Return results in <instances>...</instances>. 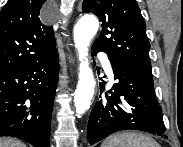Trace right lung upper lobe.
<instances>
[{"label":"right lung upper lobe","mask_w":183,"mask_h":147,"mask_svg":"<svg viewBox=\"0 0 183 147\" xmlns=\"http://www.w3.org/2000/svg\"><path fill=\"white\" fill-rule=\"evenodd\" d=\"M44 0H9L0 12V75L56 52L52 26L44 25Z\"/></svg>","instance_id":"right-lung-upper-lobe-1"}]
</instances>
